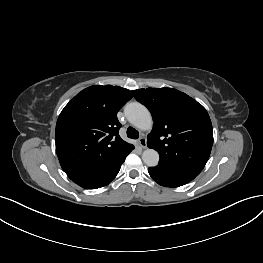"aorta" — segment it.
I'll use <instances>...</instances> for the list:
<instances>
[{
  "mask_svg": "<svg viewBox=\"0 0 263 263\" xmlns=\"http://www.w3.org/2000/svg\"><path fill=\"white\" fill-rule=\"evenodd\" d=\"M124 111L128 121L136 128L144 131L152 128V116L144 105L138 102L129 103ZM142 160L147 166L154 167L159 162V154L156 150L148 148L143 151Z\"/></svg>",
  "mask_w": 263,
  "mask_h": 263,
  "instance_id": "1",
  "label": "aorta"
}]
</instances>
